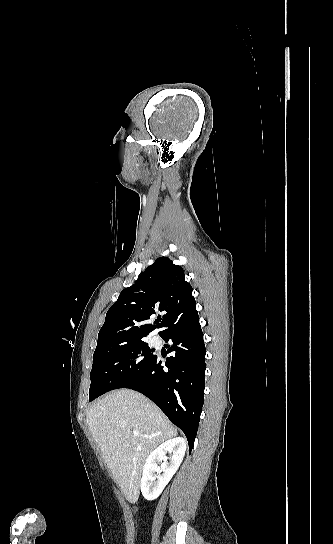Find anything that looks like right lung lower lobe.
Instances as JSON below:
<instances>
[{
	"label": "right lung lower lobe",
	"mask_w": 333,
	"mask_h": 544,
	"mask_svg": "<svg viewBox=\"0 0 333 544\" xmlns=\"http://www.w3.org/2000/svg\"><path fill=\"white\" fill-rule=\"evenodd\" d=\"M171 341L166 359L168 371L156 356L144 373L123 388L151 399L186 435L191 450L196 438L204 402L205 354L198 313L170 326L161 336Z\"/></svg>",
	"instance_id": "obj_1"
}]
</instances>
